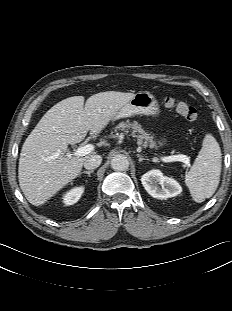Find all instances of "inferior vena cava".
<instances>
[{
  "instance_id": "inferior-vena-cava-1",
  "label": "inferior vena cava",
  "mask_w": 232,
  "mask_h": 311,
  "mask_svg": "<svg viewBox=\"0 0 232 311\" xmlns=\"http://www.w3.org/2000/svg\"><path fill=\"white\" fill-rule=\"evenodd\" d=\"M102 162V157L100 155H93L88 157L84 162V167L88 170L95 169L99 167Z\"/></svg>"
}]
</instances>
